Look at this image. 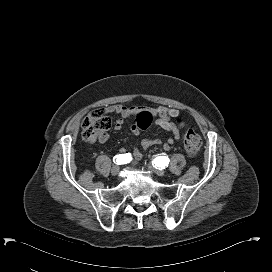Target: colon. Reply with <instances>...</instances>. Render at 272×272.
Returning a JSON list of instances; mask_svg holds the SVG:
<instances>
[{"mask_svg":"<svg viewBox=\"0 0 272 272\" xmlns=\"http://www.w3.org/2000/svg\"><path fill=\"white\" fill-rule=\"evenodd\" d=\"M150 117L149 113H140L136 118V123L145 125L150 121ZM110 126L111 120L105 110L95 109L82 120V138L89 143L94 142L99 134L108 130ZM183 146L189 157H195L201 148L199 134L192 129L187 130L183 138Z\"/></svg>","mask_w":272,"mask_h":272,"instance_id":"1","label":"colon"}]
</instances>
